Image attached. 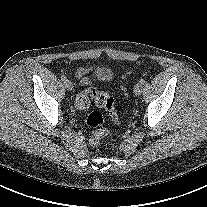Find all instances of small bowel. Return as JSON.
<instances>
[{
	"mask_svg": "<svg viewBox=\"0 0 207 207\" xmlns=\"http://www.w3.org/2000/svg\"><path fill=\"white\" fill-rule=\"evenodd\" d=\"M92 71H93V68L91 67L79 68L76 71L75 76L79 80L80 84L88 85L91 82L89 75L91 74Z\"/></svg>",
	"mask_w": 207,
	"mask_h": 207,
	"instance_id": "small-bowel-1",
	"label": "small bowel"
}]
</instances>
